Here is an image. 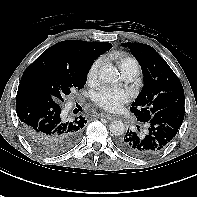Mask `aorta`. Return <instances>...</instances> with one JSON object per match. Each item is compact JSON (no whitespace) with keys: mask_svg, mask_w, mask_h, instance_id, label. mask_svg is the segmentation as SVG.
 I'll use <instances>...</instances> for the list:
<instances>
[{"mask_svg":"<svg viewBox=\"0 0 197 197\" xmlns=\"http://www.w3.org/2000/svg\"><path fill=\"white\" fill-rule=\"evenodd\" d=\"M99 78L105 83H117L120 80L118 70L111 64H105L99 70ZM110 132L115 136H121L125 132V125L120 120L113 121L109 126Z\"/></svg>","mask_w":197,"mask_h":197,"instance_id":"762f6f07","label":"aorta"}]
</instances>
